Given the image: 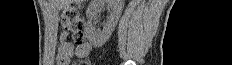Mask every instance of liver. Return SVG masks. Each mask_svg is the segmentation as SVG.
<instances>
[{"label":"liver","instance_id":"1","mask_svg":"<svg viewBox=\"0 0 232 65\" xmlns=\"http://www.w3.org/2000/svg\"><path fill=\"white\" fill-rule=\"evenodd\" d=\"M86 0H57V1H51V3H56L58 8H62L64 5H67L72 2H83Z\"/></svg>","mask_w":232,"mask_h":65}]
</instances>
